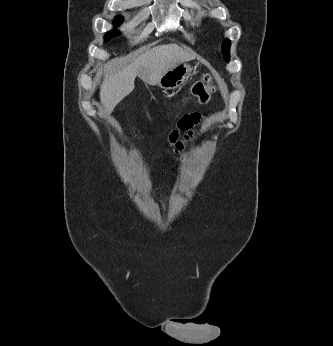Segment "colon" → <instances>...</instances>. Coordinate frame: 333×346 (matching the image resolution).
I'll list each match as a JSON object with an SVG mask.
<instances>
[{"instance_id":"5ec220e1","label":"colon","mask_w":333,"mask_h":346,"mask_svg":"<svg viewBox=\"0 0 333 346\" xmlns=\"http://www.w3.org/2000/svg\"><path fill=\"white\" fill-rule=\"evenodd\" d=\"M213 91V88L210 86V77L207 75L203 80L197 81L191 89V95L193 99L197 100L200 103H205L210 93ZM188 116L197 117L196 114H190Z\"/></svg>"}]
</instances>
